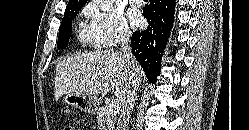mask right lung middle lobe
<instances>
[{"label": "right lung middle lobe", "mask_w": 249, "mask_h": 130, "mask_svg": "<svg viewBox=\"0 0 249 130\" xmlns=\"http://www.w3.org/2000/svg\"><path fill=\"white\" fill-rule=\"evenodd\" d=\"M82 8L79 5H67L62 23L59 29L57 48L65 49L68 44V39L71 33L72 19L77 15V12Z\"/></svg>", "instance_id": "1"}]
</instances>
